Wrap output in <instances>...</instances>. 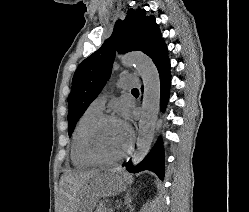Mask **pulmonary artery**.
I'll return each mask as SVG.
<instances>
[{"label":"pulmonary artery","mask_w":249,"mask_h":212,"mask_svg":"<svg viewBox=\"0 0 249 212\" xmlns=\"http://www.w3.org/2000/svg\"><path fill=\"white\" fill-rule=\"evenodd\" d=\"M126 77L127 76H123L117 81V87L124 89V90H129L133 88V85L123 82V79ZM106 99H107V96L105 94H101L92 101L91 106L97 110L102 111L104 109Z\"/></svg>","instance_id":"obj_1"}]
</instances>
